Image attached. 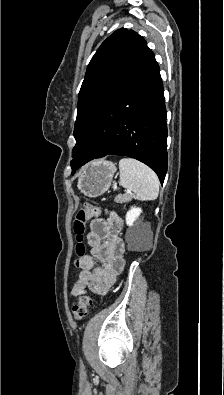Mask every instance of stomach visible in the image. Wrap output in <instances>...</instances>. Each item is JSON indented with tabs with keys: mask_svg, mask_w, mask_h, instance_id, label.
Masks as SVG:
<instances>
[{
	"mask_svg": "<svg viewBox=\"0 0 224 395\" xmlns=\"http://www.w3.org/2000/svg\"><path fill=\"white\" fill-rule=\"evenodd\" d=\"M115 172L116 166L111 161H92L83 168L77 186L85 196L98 197L109 189Z\"/></svg>",
	"mask_w": 224,
	"mask_h": 395,
	"instance_id": "0dacf381",
	"label": "stomach"
}]
</instances>
